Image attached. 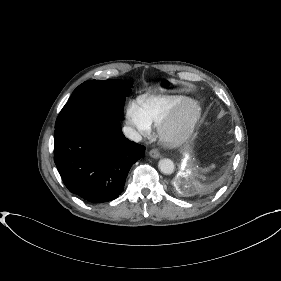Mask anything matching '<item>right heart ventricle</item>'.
<instances>
[{"label": "right heart ventricle", "instance_id": "right-heart-ventricle-1", "mask_svg": "<svg viewBox=\"0 0 281 281\" xmlns=\"http://www.w3.org/2000/svg\"><path fill=\"white\" fill-rule=\"evenodd\" d=\"M176 94H144L137 98V108L143 122L150 128L159 126L185 100Z\"/></svg>", "mask_w": 281, "mask_h": 281}]
</instances>
